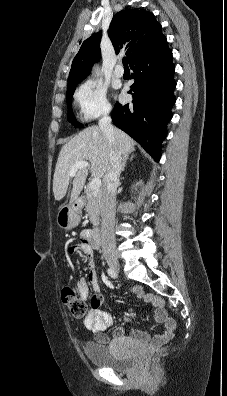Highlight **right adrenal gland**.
<instances>
[{
	"label": "right adrenal gland",
	"mask_w": 227,
	"mask_h": 396,
	"mask_svg": "<svg viewBox=\"0 0 227 396\" xmlns=\"http://www.w3.org/2000/svg\"><path fill=\"white\" fill-rule=\"evenodd\" d=\"M130 153H131V152H130ZM130 153L125 154L124 157H123L121 173L125 170L126 162H127V160L129 159ZM133 158H134V155H132V156L130 157V160H133Z\"/></svg>",
	"instance_id": "1"
}]
</instances>
